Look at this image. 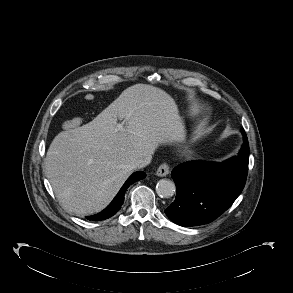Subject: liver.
I'll use <instances>...</instances> for the list:
<instances>
[{"label": "liver", "mask_w": 293, "mask_h": 293, "mask_svg": "<svg viewBox=\"0 0 293 293\" xmlns=\"http://www.w3.org/2000/svg\"><path fill=\"white\" fill-rule=\"evenodd\" d=\"M124 120V131L118 130ZM174 99L160 88L136 84L91 122L60 132L45 158V174L62 207L76 215L100 212L135 168L136 159L181 141Z\"/></svg>", "instance_id": "6515ba94"}]
</instances>
